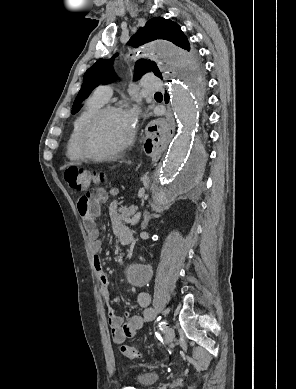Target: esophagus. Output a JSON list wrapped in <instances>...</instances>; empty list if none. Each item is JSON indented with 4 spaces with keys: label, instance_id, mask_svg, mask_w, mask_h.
<instances>
[{
    "label": "esophagus",
    "instance_id": "1",
    "mask_svg": "<svg viewBox=\"0 0 296 389\" xmlns=\"http://www.w3.org/2000/svg\"><path fill=\"white\" fill-rule=\"evenodd\" d=\"M169 115L171 116V112L169 111ZM167 126V123L164 118L159 121H154L151 118H147L145 122L146 134L151 139H156L159 135L164 133V130Z\"/></svg>",
    "mask_w": 296,
    "mask_h": 389
}]
</instances>
